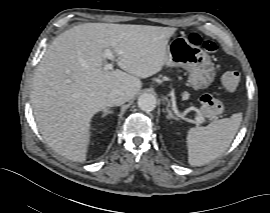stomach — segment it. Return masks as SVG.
Returning <instances> with one entry per match:
<instances>
[{
	"mask_svg": "<svg viewBox=\"0 0 270 213\" xmlns=\"http://www.w3.org/2000/svg\"><path fill=\"white\" fill-rule=\"evenodd\" d=\"M165 65L186 69L189 73L188 84L195 90L206 89L215 77V69L208 55L183 36L174 38L167 46Z\"/></svg>",
	"mask_w": 270,
	"mask_h": 213,
	"instance_id": "obj_1",
	"label": "stomach"
}]
</instances>
